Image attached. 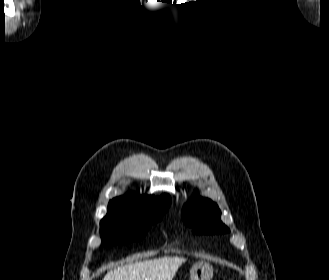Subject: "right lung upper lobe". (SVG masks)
<instances>
[{
	"label": "right lung upper lobe",
	"instance_id": "obj_1",
	"mask_svg": "<svg viewBox=\"0 0 329 280\" xmlns=\"http://www.w3.org/2000/svg\"><path fill=\"white\" fill-rule=\"evenodd\" d=\"M171 199L168 195L161 197L154 196H138L127 193L124 196L116 197L109 202V205H121L131 207L142 212H151L156 208L170 206Z\"/></svg>",
	"mask_w": 329,
	"mask_h": 280
}]
</instances>
